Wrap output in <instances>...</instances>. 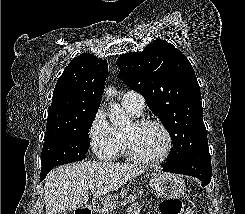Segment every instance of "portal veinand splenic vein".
Returning <instances> with one entry per match:
<instances>
[{
    "mask_svg": "<svg viewBox=\"0 0 245 214\" xmlns=\"http://www.w3.org/2000/svg\"><path fill=\"white\" fill-rule=\"evenodd\" d=\"M89 188H90L91 191L95 190V186L94 185H89Z\"/></svg>",
    "mask_w": 245,
    "mask_h": 214,
    "instance_id": "1",
    "label": "portal vein and splenic vein"
}]
</instances>
